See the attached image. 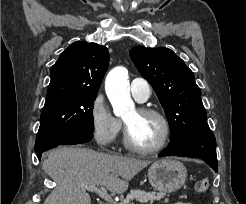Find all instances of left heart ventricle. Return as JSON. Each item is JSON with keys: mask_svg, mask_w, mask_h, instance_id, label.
Returning a JSON list of instances; mask_svg holds the SVG:
<instances>
[{"mask_svg": "<svg viewBox=\"0 0 246 204\" xmlns=\"http://www.w3.org/2000/svg\"><path fill=\"white\" fill-rule=\"evenodd\" d=\"M131 140L141 147H152L159 143L163 135V124L153 115H142L137 110L124 118Z\"/></svg>", "mask_w": 246, "mask_h": 204, "instance_id": "left-heart-ventricle-1", "label": "left heart ventricle"}]
</instances>
